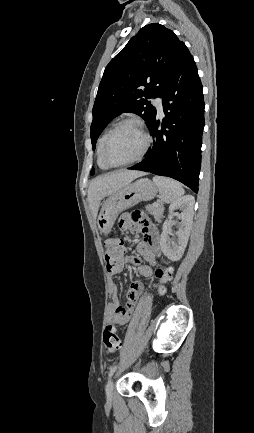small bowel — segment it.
I'll return each instance as SVG.
<instances>
[{"label":"small bowel","instance_id":"obj_1","mask_svg":"<svg viewBox=\"0 0 254 433\" xmlns=\"http://www.w3.org/2000/svg\"><path fill=\"white\" fill-rule=\"evenodd\" d=\"M120 227L130 228L134 232H141L144 235L143 241L137 246L138 257L124 256L122 257L119 267L114 271H109L111 274L120 273L127 263L135 266V271L145 278H152L156 265L157 257L160 255L159 233L157 229L150 225L147 220L142 222H131L130 215H124L119 221ZM148 264H144L142 260ZM144 286L141 282H132L127 294L126 303H120L118 289L114 282L109 284L110 303L105 312V321L107 324H117L123 326L127 324L132 316L133 309L142 294ZM160 290L162 288L160 287Z\"/></svg>","mask_w":254,"mask_h":433}]
</instances>
